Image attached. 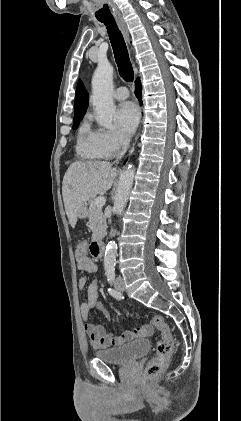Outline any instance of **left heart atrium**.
<instances>
[{
    "mask_svg": "<svg viewBox=\"0 0 241 421\" xmlns=\"http://www.w3.org/2000/svg\"><path fill=\"white\" fill-rule=\"evenodd\" d=\"M116 122L119 129L126 136H130L139 122V111L136 105L132 102L120 104L116 111Z\"/></svg>",
    "mask_w": 241,
    "mask_h": 421,
    "instance_id": "1",
    "label": "left heart atrium"
}]
</instances>
